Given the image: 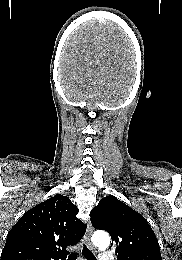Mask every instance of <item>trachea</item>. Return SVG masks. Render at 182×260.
Masks as SVG:
<instances>
[{
  "instance_id": "3493384b",
  "label": "trachea",
  "mask_w": 182,
  "mask_h": 260,
  "mask_svg": "<svg viewBox=\"0 0 182 260\" xmlns=\"http://www.w3.org/2000/svg\"><path fill=\"white\" fill-rule=\"evenodd\" d=\"M82 254L87 260H96V257L93 255V253L87 248L86 245H83ZM77 254L73 253L69 255L68 260H76Z\"/></svg>"
}]
</instances>
